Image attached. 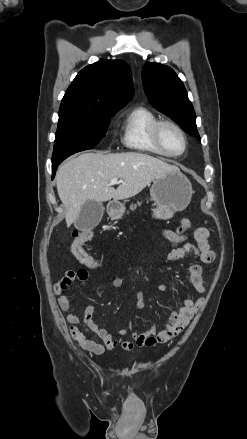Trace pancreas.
Listing matches in <instances>:
<instances>
[{
	"label": "pancreas",
	"instance_id": "pancreas-1",
	"mask_svg": "<svg viewBox=\"0 0 247 439\" xmlns=\"http://www.w3.org/2000/svg\"><path fill=\"white\" fill-rule=\"evenodd\" d=\"M140 205H141V202H137V204H131L130 210L134 211L137 208V206H140Z\"/></svg>",
	"mask_w": 247,
	"mask_h": 439
}]
</instances>
